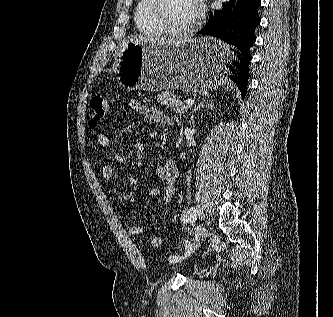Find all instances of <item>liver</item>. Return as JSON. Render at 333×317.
Masks as SVG:
<instances>
[{
	"label": "liver",
	"instance_id": "obj_1",
	"mask_svg": "<svg viewBox=\"0 0 333 317\" xmlns=\"http://www.w3.org/2000/svg\"><path fill=\"white\" fill-rule=\"evenodd\" d=\"M192 37H151L146 35H132L123 40L122 44L133 42V43H158L180 46L186 43Z\"/></svg>",
	"mask_w": 333,
	"mask_h": 317
}]
</instances>
